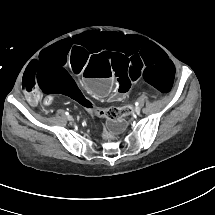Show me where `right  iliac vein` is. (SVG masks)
I'll list each match as a JSON object with an SVG mask.
<instances>
[{"label":"right iliac vein","mask_w":215,"mask_h":215,"mask_svg":"<svg viewBox=\"0 0 215 215\" xmlns=\"http://www.w3.org/2000/svg\"><path fill=\"white\" fill-rule=\"evenodd\" d=\"M73 118L71 116H67V120L71 121Z\"/></svg>","instance_id":"right-iliac-vein-1"}]
</instances>
